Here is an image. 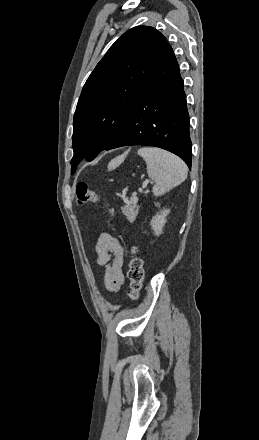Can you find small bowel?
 <instances>
[{
    "label": "small bowel",
    "instance_id": "1",
    "mask_svg": "<svg viewBox=\"0 0 259 440\" xmlns=\"http://www.w3.org/2000/svg\"><path fill=\"white\" fill-rule=\"evenodd\" d=\"M97 264L104 267L103 281L110 292H117L124 283L125 253L120 241L108 232L99 235L96 243Z\"/></svg>",
    "mask_w": 259,
    "mask_h": 440
}]
</instances>
